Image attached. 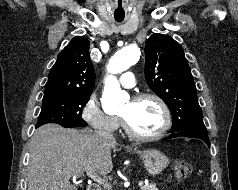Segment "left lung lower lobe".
Listing matches in <instances>:
<instances>
[{
	"instance_id": "1",
	"label": "left lung lower lobe",
	"mask_w": 238,
	"mask_h": 190,
	"mask_svg": "<svg viewBox=\"0 0 238 190\" xmlns=\"http://www.w3.org/2000/svg\"><path fill=\"white\" fill-rule=\"evenodd\" d=\"M171 133L172 134L169 137H167V139L174 138L177 136L196 137V138L203 140L208 146H210L207 130H196L193 132L178 131V132H171Z\"/></svg>"
}]
</instances>
